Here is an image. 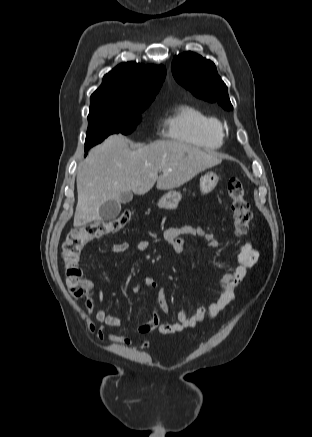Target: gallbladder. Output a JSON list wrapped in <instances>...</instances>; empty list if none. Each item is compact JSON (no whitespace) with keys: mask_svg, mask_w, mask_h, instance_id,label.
<instances>
[{"mask_svg":"<svg viewBox=\"0 0 312 437\" xmlns=\"http://www.w3.org/2000/svg\"><path fill=\"white\" fill-rule=\"evenodd\" d=\"M132 198H133V194L131 192H122L119 202L115 200H109L106 203H104L99 209L101 220L111 221L115 219L120 214L121 203L123 204L129 203L132 200Z\"/></svg>","mask_w":312,"mask_h":437,"instance_id":"obj_1","label":"gallbladder"}]
</instances>
